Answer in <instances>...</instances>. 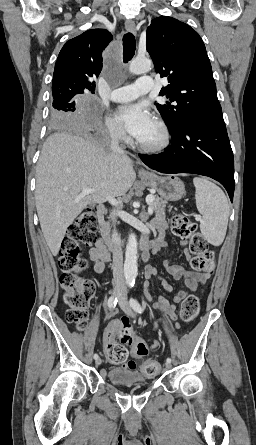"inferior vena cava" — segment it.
Returning a JSON list of instances; mask_svg holds the SVG:
<instances>
[{
    "mask_svg": "<svg viewBox=\"0 0 256 445\" xmlns=\"http://www.w3.org/2000/svg\"><path fill=\"white\" fill-rule=\"evenodd\" d=\"M123 131L119 128L115 129L111 133L110 150L115 152H123L119 147V139L122 136ZM113 221L115 217L112 216ZM112 242H113V280L112 284L117 292L126 293V285L123 273V252L121 249V238L116 229L112 232Z\"/></svg>",
    "mask_w": 256,
    "mask_h": 445,
    "instance_id": "602c4592",
    "label": "inferior vena cava"
}]
</instances>
